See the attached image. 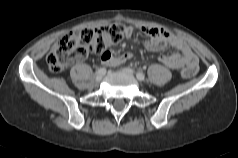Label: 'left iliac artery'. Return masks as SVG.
Wrapping results in <instances>:
<instances>
[{
  "label": "left iliac artery",
  "mask_w": 238,
  "mask_h": 158,
  "mask_svg": "<svg viewBox=\"0 0 238 158\" xmlns=\"http://www.w3.org/2000/svg\"><path fill=\"white\" fill-rule=\"evenodd\" d=\"M136 76H137L138 80H140V81L145 79V75L143 72H137Z\"/></svg>",
  "instance_id": "1"
}]
</instances>
